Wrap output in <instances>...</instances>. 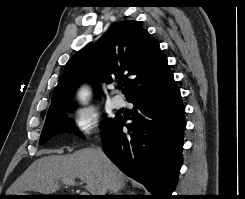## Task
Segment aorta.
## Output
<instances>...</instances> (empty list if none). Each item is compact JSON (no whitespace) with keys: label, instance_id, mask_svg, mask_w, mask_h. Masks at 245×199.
<instances>
[{"label":"aorta","instance_id":"aorta-1","mask_svg":"<svg viewBox=\"0 0 245 199\" xmlns=\"http://www.w3.org/2000/svg\"><path fill=\"white\" fill-rule=\"evenodd\" d=\"M81 100L84 102L87 99L88 91L86 89H82L79 94Z\"/></svg>","mask_w":245,"mask_h":199}]
</instances>
